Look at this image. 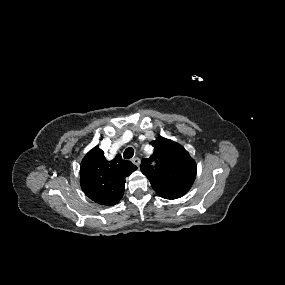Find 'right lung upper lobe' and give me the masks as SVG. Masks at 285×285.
Returning <instances> with one entry per match:
<instances>
[{
  "mask_svg": "<svg viewBox=\"0 0 285 285\" xmlns=\"http://www.w3.org/2000/svg\"><path fill=\"white\" fill-rule=\"evenodd\" d=\"M137 167L123 160L120 154L108 161L97 146L90 150L80 165V185L94 202L112 206L123 197L125 178Z\"/></svg>",
  "mask_w": 285,
  "mask_h": 285,
  "instance_id": "right-lung-upper-lobe-1",
  "label": "right lung upper lobe"
}]
</instances>
